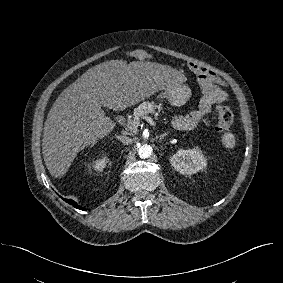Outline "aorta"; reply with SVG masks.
I'll use <instances>...</instances> for the list:
<instances>
[{
	"instance_id": "762f6f07",
	"label": "aorta",
	"mask_w": 283,
	"mask_h": 283,
	"mask_svg": "<svg viewBox=\"0 0 283 283\" xmlns=\"http://www.w3.org/2000/svg\"><path fill=\"white\" fill-rule=\"evenodd\" d=\"M152 154V147L148 144H143L138 149V155L140 158H149Z\"/></svg>"
}]
</instances>
